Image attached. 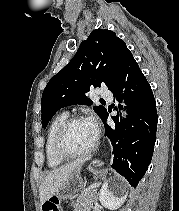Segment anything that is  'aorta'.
<instances>
[{
  "instance_id": "obj_1",
  "label": "aorta",
  "mask_w": 179,
  "mask_h": 211,
  "mask_svg": "<svg viewBox=\"0 0 179 211\" xmlns=\"http://www.w3.org/2000/svg\"><path fill=\"white\" fill-rule=\"evenodd\" d=\"M123 106H125V104L122 103ZM122 117H126V111L122 110Z\"/></svg>"
}]
</instances>
